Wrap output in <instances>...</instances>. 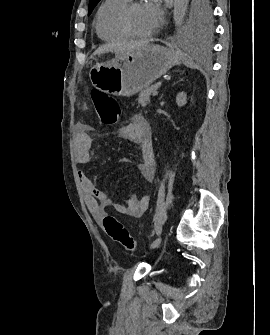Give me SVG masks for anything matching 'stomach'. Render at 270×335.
Wrapping results in <instances>:
<instances>
[{
  "label": "stomach",
  "instance_id": "stomach-1",
  "mask_svg": "<svg viewBox=\"0 0 270 335\" xmlns=\"http://www.w3.org/2000/svg\"><path fill=\"white\" fill-rule=\"evenodd\" d=\"M182 54L177 48L145 46L140 50L120 54L111 64H96L90 70V80L98 90L112 96H134L148 88L159 76L177 66Z\"/></svg>",
  "mask_w": 270,
  "mask_h": 335
}]
</instances>
